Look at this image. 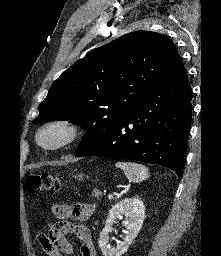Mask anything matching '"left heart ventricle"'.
Listing matches in <instances>:
<instances>
[{"mask_svg": "<svg viewBox=\"0 0 221 256\" xmlns=\"http://www.w3.org/2000/svg\"><path fill=\"white\" fill-rule=\"evenodd\" d=\"M57 138H58V134H56V133H50V134H48V135L45 136V140H46L47 142H53V141H55Z\"/></svg>", "mask_w": 221, "mask_h": 256, "instance_id": "obj_1", "label": "left heart ventricle"}]
</instances>
